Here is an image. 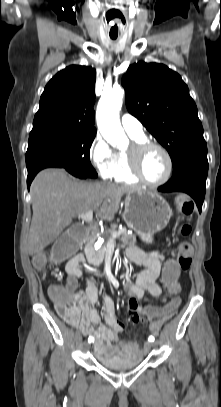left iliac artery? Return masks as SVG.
Instances as JSON below:
<instances>
[{"mask_svg":"<svg viewBox=\"0 0 221 407\" xmlns=\"http://www.w3.org/2000/svg\"><path fill=\"white\" fill-rule=\"evenodd\" d=\"M149 341H150V342H153V341H154V337H153V336H150V337H149Z\"/></svg>","mask_w":221,"mask_h":407,"instance_id":"44dca946","label":"left iliac artery"}]
</instances>
